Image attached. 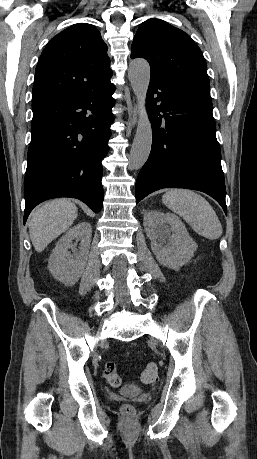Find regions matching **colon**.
Returning a JSON list of instances; mask_svg holds the SVG:
<instances>
[{"label": "colon", "instance_id": "obj_1", "mask_svg": "<svg viewBox=\"0 0 257 459\" xmlns=\"http://www.w3.org/2000/svg\"><path fill=\"white\" fill-rule=\"evenodd\" d=\"M103 376L113 387H119L122 385V379L117 373L116 363L114 361H108L103 368ZM158 376V367L155 363H149L141 373V380L144 383H151L156 380ZM122 413L125 416H132L134 409L131 405H124L122 407Z\"/></svg>", "mask_w": 257, "mask_h": 459}]
</instances>
